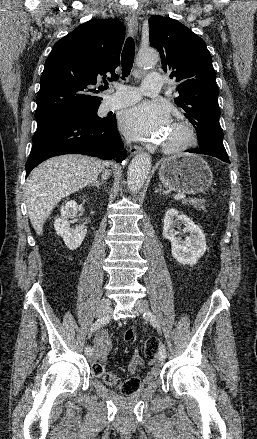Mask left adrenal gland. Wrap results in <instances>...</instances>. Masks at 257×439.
<instances>
[{
  "instance_id": "obj_1",
  "label": "left adrenal gland",
  "mask_w": 257,
  "mask_h": 439,
  "mask_svg": "<svg viewBox=\"0 0 257 439\" xmlns=\"http://www.w3.org/2000/svg\"><path fill=\"white\" fill-rule=\"evenodd\" d=\"M155 193L164 194V191L162 190V186L160 185L158 189L155 190Z\"/></svg>"
}]
</instances>
